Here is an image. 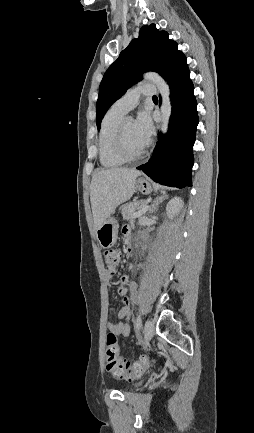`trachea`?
I'll return each instance as SVG.
<instances>
[{
	"label": "trachea",
	"mask_w": 254,
	"mask_h": 433,
	"mask_svg": "<svg viewBox=\"0 0 254 433\" xmlns=\"http://www.w3.org/2000/svg\"><path fill=\"white\" fill-rule=\"evenodd\" d=\"M153 100H157V96H153Z\"/></svg>",
	"instance_id": "1"
}]
</instances>
